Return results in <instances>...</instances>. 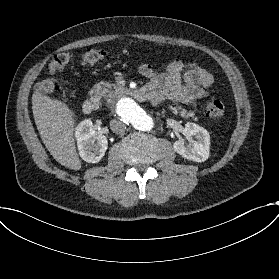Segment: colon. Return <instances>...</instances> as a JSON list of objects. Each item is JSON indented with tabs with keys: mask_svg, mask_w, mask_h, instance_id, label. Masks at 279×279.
I'll use <instances>...</instances> for the list:
<instances>
[{
	"mask_svg": "<svg viewBox=\"0 0 279 279\" xmlns=\"http://www.w3.org/2000/svg\"><path fill=\"white\" fill-rule=\"evenodd\" d=\"M107 52L102 47H93L86 49L81 55V64L83 66L91 65L95 62L103 60ZM70 51H61L55 54L47 63V71L51 74H57L71 60ZM60 80L58 78H48L40 82L39 90L44 94H49L59 89ZM205 109L210 117H221L225 113V105L222 101L208 97L205 101Z\"/></svg>",
	"mask_w": 279,
	"mask_h": 279,
	"instance_id": "1",
	"label": "colon"
}]
</instances>
